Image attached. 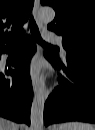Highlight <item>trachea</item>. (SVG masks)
<instances>
[{"mask_svg":"<svg viewBox=\"0 0 95 130\" xmlns=\"http://www.w3.org/2000/svg\"><path fill=\"white\" fill-rule=\"evenodd\" d=\"M29 27H30V31H31V34H32V37L38 42L40 43L41 45L43 46H46V47H50V48H57L55 46H52L46 42H44L41 38V35H40V32H39V29H38V26L36 25V22L34 21V18L33 16H31L30 18V21H29ZM21 44V41L17 42L15 44V46H20Z\"/></svg>","mask_w":95,"mask_h":130,"instance_id":"obj_1","label":"trachea"}]
</instances>
